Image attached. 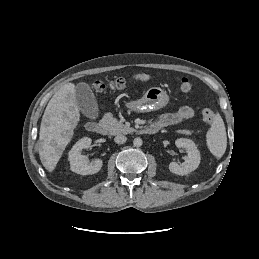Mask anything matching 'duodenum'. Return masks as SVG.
I'll list each match as a JSON object with an SVG mask.
<instances>
[{
  "label": "duodenum",
  "instance_id": "1",
  "mask_svg": "<svg viewBox=\"0 0 259 259\" xmlns=\"http://www.w3.org/2000/svg\"><path fill=\"white\" fill-rule=\"evenodd\" d=\"M86 130L93 134H104L105 127L102 123L96 121H90L86 124ZM159 130V127L155 124H151L142 129L143 133L154 134Z\"/></svg>",
  "mask_w": 259,
  "mask_h": 259
}]
</instances>
